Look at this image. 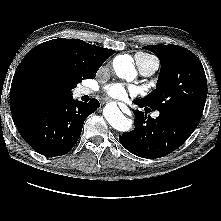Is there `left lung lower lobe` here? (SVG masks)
<instances>
[{
    "label": "left lung lower lobe",
    "mask_w": 221,
    "mask_h": 221,
    "mask_svg": "<svg viewBox=\"0 0 221 221\" xmlns=\"http://www.w3.org/2000/svg\"><path fill=\"white\" fill-rule=\"evenodd\" d=\"M134 103L145 107L138 100ZM159 112L160 115L153 119L133 110L135 129L119 136V141L129 152L142 158L163 157L179 148L200 121L175 111Z\"/></svg>",
    "instance_id": "obj_1"
}]
</instances>
